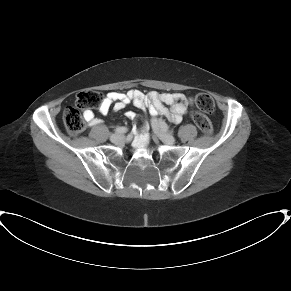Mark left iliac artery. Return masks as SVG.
Here are the masks:
<instances>
[{
	"label": "left iliac artery",
	"mask_w": 291,
	"mask_h": 291,
	"mask_svg": "<svg viewBox=\"0 0 291 291\" xmlns=\"http://www.w3.org/2000/svg\"><path fill=\"white\" fill-rule=\"evenodd\" d=\"M161 128H163L164 130H167L169 127L167 124H162Z\"/></svg>",
	"instance_id": "1"
}]
</instances>
